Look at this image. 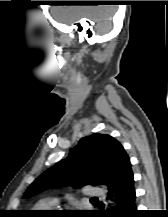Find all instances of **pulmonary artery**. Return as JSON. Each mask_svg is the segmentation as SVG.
Returning <instances> with one entry per match:
<instances>
[{
    "instance_id": "e3ab8cb5",
    "label": "pulmonary artery",
    "mask_w": 168,
    "mask_h": 217,
    "mask_svg": "<svg viewBox=\"0 0 168 217\" xmlns=\"http://www.w3.org/2000/svg\"><path fill=\"white\" fill-rule=\"evenodd\" d=\"M85 194L88 198L103 197L105 195L104 191L101 188L93 186L87 187Z\"/></svg>"
}]
</instances>
